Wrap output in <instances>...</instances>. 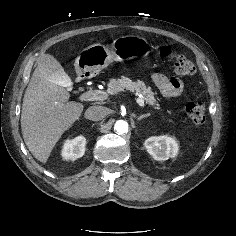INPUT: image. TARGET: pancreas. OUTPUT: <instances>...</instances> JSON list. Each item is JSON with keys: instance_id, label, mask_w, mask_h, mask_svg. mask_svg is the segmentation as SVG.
<instances>
[{"instance_id": "1", "label": "pancreas", "mask_w": 236, "mask_h": 236, "mask_svg": "<svg viewBox=\"0 0 236 236\" xmlns=\"http://www.w3.org/2000/svg\"><path fill=\"white\" fill-rule=\"evenodd\" d=\"M122 91L135 92L136 94H141L147 104L154 106L155 109H160V105L155 99V93L152 91L151 87H147L143 81L134 82L128 77L122 76L118 79H110L108 83L109 94H116Z\"/></svg>"}]
</instances>
